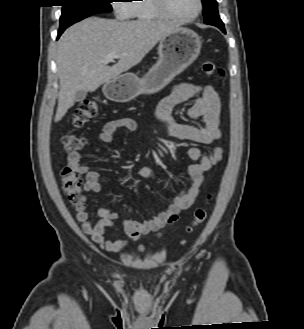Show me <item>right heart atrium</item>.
Segmentation results:
<instances>
[{
	"label": "right heart atrium",
	"mask_w": 304,
	"mask_h": 329,
	"mask_svg": "<svg viewBox=\"0 0 304 329\" xmlns=\"http://www.w3.org/2000/svg\"><path fill=\"white\" fill-rule=\"evenodd\" d=\"M113 9L119 19H127L131 16V8L128 0H114Z\"/></svg>",
	"instance_id": "1"
}]
</instances>
